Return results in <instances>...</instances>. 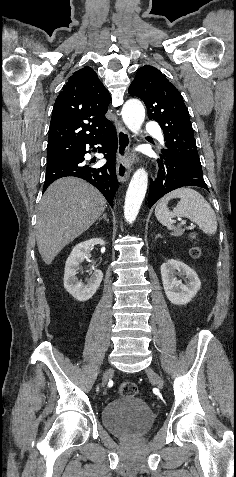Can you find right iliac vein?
<instances>
[{"instance_id":"obj_1","label":"right iliac vein","mask_w":236,"mask_h":477,"mask_svg":"<svg viewBox=\"0 0 236 477\" xmlns=\"http://www.w3.org/2000/svg\"><path fill=\"white\" fill-rule=\"evenodd\" d=\"M112 373V368H107L103 374V378H102V384L103 386L106 385L107 381H108V378L110 376V374ZM102 392L104 391L103 389L101 390Z\"/></svg>"}]
</instances>
